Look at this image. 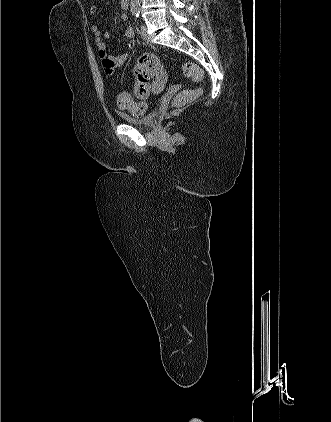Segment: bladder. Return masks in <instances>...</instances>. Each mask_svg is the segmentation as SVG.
Here are the masks:
<instances>
[{
    "label": "bladder",
    "instance_id": "bladder-1",
    "mask_svg": "<svg viewBox=\"0 0 331 422\" xmlns=\"http://www.w3.org/2000/svg\"><path fill=\"white\" fill-rule=\"evenodd\" d=\"M120 118L127 124L133 125V126H141V127H150L154 124L157 113L155 111H151L143 116L136 117L131 116L128 114L121 113Z\"/></svg>",
    "mask_w": 331,
    "mask_h": 422
}]
</instances>
